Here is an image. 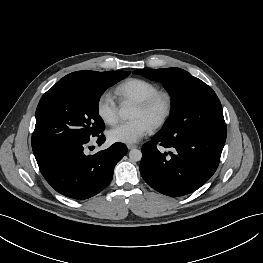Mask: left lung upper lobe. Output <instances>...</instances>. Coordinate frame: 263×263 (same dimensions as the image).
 I'll return each mask as SVG.
<instances>
[{"label":"left lung upper lobe","instance_id":"left-lung-upper-lobe-1","mask_svg":"<svg viewBox=\"0 0 263 263\" xmlns=\"http://www.w3.org/2000/svg\"><path fill=\"white\" fill-rule=\"evenodd\" d=\"M133 73L162 82L172 95V115L159 133L169 136L226 130L217 95L187 71L165 68L138 69Z\"/></svg>","mask_w":263,"mask_h":263}]
</instances>
